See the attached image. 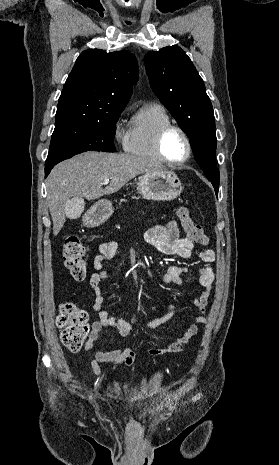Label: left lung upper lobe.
Returning a JSON list of instances; mask_svg holds the SVG:
<instances>
[{
  "label": "left lung upper lobe",
  "instance_id": "left-lung-upper-lobe-1",
  "mask_svg": "<svg viewBox=\"0 0 279 465\" xmlns=\"http://www.w3.org/2000/svg\"><path fill=\"white\" fill-rule=\"evenodd\" d=\"M145 66L151 88L189 137L195 159L218 195L215 120L202 78L175 45L147 53Z\"/></svg>",
  "mask_w": 279,
  "mask_h": 465
}]
</instances>
